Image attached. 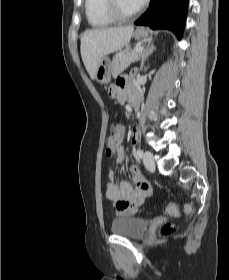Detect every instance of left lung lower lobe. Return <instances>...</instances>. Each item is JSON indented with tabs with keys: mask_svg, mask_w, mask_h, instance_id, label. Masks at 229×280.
Segmentation results:
<instances>
[{
	"mask_svg": "<svg viewBox=\"0 0 229 280\" xmlns=\"http://www.w3.org/2000/svg\"><path fill=\"white\" fill-rule=\"evenodd\" d=\"M187 10L188 0H151L149 8L135 24L152 29H169L181 39Z\"/></svg>",
	"mask_w": 229,
	"mask_h": 280,
	"instance_id": "left-lung-lower-lobe-1",
	"label": "left lung lower lobe"
}]
</instances>
